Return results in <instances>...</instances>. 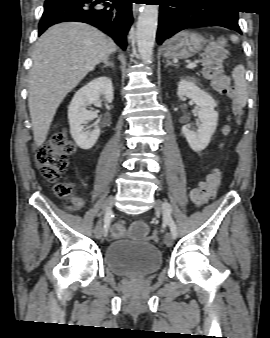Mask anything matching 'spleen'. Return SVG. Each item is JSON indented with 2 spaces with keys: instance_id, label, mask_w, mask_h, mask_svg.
Here are the masks:
<instances>
[{
  "instance_id": "1",
  "label": "spleen",
  "mask_w": 270,
  "mask_h": 338,
  "mask_svg": "<svg viewBox=\"0 0 270 338\" xmlns=\"http://www.w3.org/2000/svg\"><path fill=\"white\" fill-rule=\"evenodd\" d=\"M232 77L234 79L236 99L241 106H244L247 97V82L245 80L244 66L241 64L237 65L232 72Z\"/></svg>"
}]
</instances>
